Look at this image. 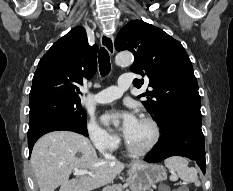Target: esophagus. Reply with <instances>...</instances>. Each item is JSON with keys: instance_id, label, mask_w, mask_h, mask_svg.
<instances>
[{"instance_id": "34e87169", "label": "esophagus", "mask_w": 233, "mask_h": 191, "mask_svg": "<svg viewBox=\"0 0 233 191\" xmlns=\"http://www.w3.org/2000/svg\"><path fill=\"white\" fill-rule=\"evenodd\" d=\"M100 43L101 46L104 47L111 56L114 55L115 53L114 39L110 33L103 31L100 37Z\"/></svg>"}]
</instances>
